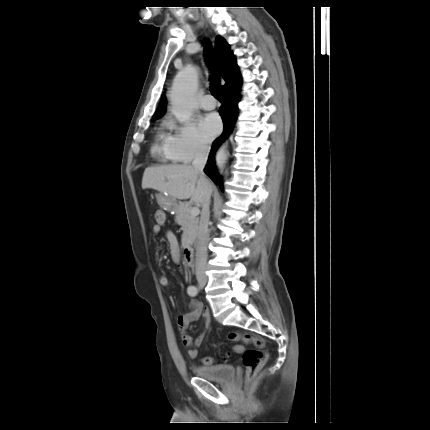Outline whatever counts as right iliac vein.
Wrapping results in <instances>:
<instances>
[{"label": "right iliac vein", "mask_w": 430, "mask_h": 430, "mask_svg": "<svg viewBox=\"0 0 430 430\" xmlns=\"http://www.w3.org/2000/svg\"><path fill=\"white\" fill-rule=\"evenodd\" d=\"M198 281H199V284H205L206 283V279H204V278H200Z\"/></svg>", "instance_id": "obj_1"}]
</instances>
